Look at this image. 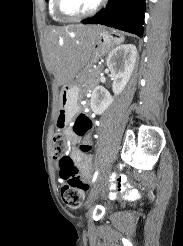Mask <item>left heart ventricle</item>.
<instances>
[{
	"instance_id": "1",
	"label": "left heart ventricle",
	"mask_w": 183,
	"mask_h": 246,
	"mask_svg": "<svg viewBox=\"0 0 183 246\" xmlns=\"http://www.w3.org/2000/svg\"><path fill=\"white\" fill-rule=\"evenodd\" d=\"M97 1L98 0H62V7L65 12L77 15L90 10Z\"/></svg>"
}]
</instances>
